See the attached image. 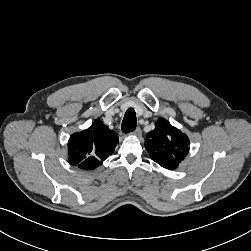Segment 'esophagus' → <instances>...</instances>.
<instances>
[{
	"label": "esophagus",
	"mask_w": 251,
	"mask_h": 251,
	"mask_svg": "<svg viewBox=\"0 0 251 251\" xmlns=\"http://www.w3.org/2000/svg\"><path fill=\"white\" fill-rule=\"evenodd\" d=\"M132 134L135 135V136H141L142 132H141L140 127H137V128L132 132Z\"/></svg>",
	"instance_id": "obj_1"
}]
</instances>
